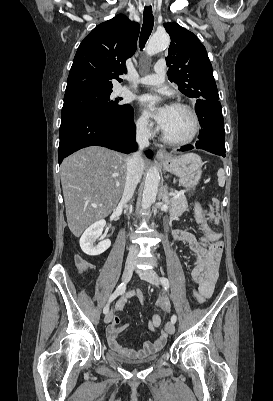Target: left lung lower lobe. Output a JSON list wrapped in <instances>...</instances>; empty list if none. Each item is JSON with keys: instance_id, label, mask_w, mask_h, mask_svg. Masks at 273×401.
<instances>
[{"instance_id": "1", "label": "left lung lower lobe", "mask_w": 273, "mask_h": 401, "mask_svg": "<svg viewBox=\"0 0 273 401\" xmlns=\"http://www.w3.org/2000/svg\"><path fill=\"white\" fill-rule=\"evenodd\" d=\"M195 110L202 127L199 141L195 146H185L179 151L197 148L225 157V130L220 102L199 99L195 104Z\"/></svg>"}]
</instances>
